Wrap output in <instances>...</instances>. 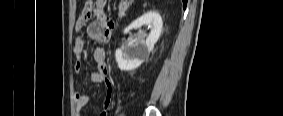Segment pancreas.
<instances>
[{
	"instance_id": "1",
	"label": "pancreas",
	"mask_w": 283,
	"mask_h": 116,
	"mask_svg": "<svg viewBox=\"0 0 283 116\" xmlns=\"http://www.w3.org/2000/svg\"><path fill=\"white\" fill-rule=\"evenodd\" d=\"M126 10H127V5H125L124 3H121V4L119 5V13H118V16H119L120 18L124 17Z\"/></svg>"
}]
</instances>
